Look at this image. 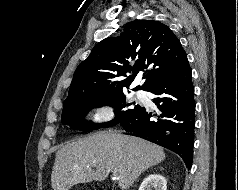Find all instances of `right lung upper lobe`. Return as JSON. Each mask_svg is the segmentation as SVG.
Wrapping results in <instances>:
<instances>
[{"instance_id":"obj_1","label":"right lung upper lobe","mask_w":238,"mask_h":190,"mask_svg":"<svg viewBox=\"0 0 238 190\" xmlns=\"http://www.w3.org/2000/svg\"><path fill=\"white\" fill-rule=\"evenodd\" d=\"M186 62L187 55L168 26L153 20L129 22L120 36L102 40L77 67L63 108L82 94L123 93L140 71L145 83L133 90L149 91Z\"/></svg>"}]
</instances>
